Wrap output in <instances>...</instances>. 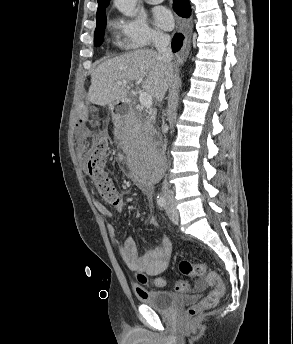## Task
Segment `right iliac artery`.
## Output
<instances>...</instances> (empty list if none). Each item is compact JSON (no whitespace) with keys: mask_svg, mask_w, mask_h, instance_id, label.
Segmentation results:
<instances>
[{"mask_svg":"<svg viewBox=\"0 0 293 344\" xmlns=\"http://www.w3.org/2000/svg\"><path fill=\"white\" fill-rule=\"evenodd\" d=\"M157 204L159 205L160 208H165L166 207V200L162 196H158L157 198Z\"/></svg>","mask_w":293,"mask_h":344,"instance_id":"obj_1","label":"right iliac artery"}]
</instances>
